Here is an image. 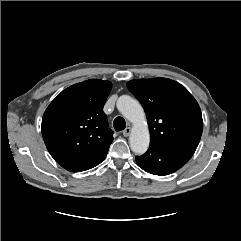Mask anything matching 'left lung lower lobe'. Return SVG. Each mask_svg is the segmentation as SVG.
<instances>
[{"mask_svg": "<svg viewBox=\"0 0 241 241\" xmlns=\"http://www.w3.org/2000/svg\"><path fill=\"white\" fill-rule=\"evenodd\" d=\"M195 152V148L172 146L150 142L147 152L136 156V162L144 171L164 176L169 175L186 164Z\"/></svg>", "mask_w": 241, "mask_h": 241, "instance_id": "left-lung-lower-lobe-1", "label": "left lung lower lobe"}]
</instances>
